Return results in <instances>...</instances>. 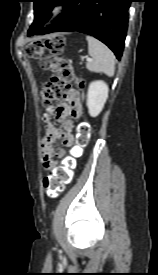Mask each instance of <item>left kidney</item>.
I'll use <instances>...</instances> for the list:
<instances>
[{
  "label": "left kidney",
  "mask_w": 158,
  "mask_h": 275,
  "mask_svg": "<svg viewBox=\"0 0 158 275\" xmlns=\"http://www.w3.org/2000/svg\"><path fill=\"white\" fill-rule=\"evenodd\" d=\"M108 92V85L104 81L99 80L90 83L86 105L91 117H96L101 113L108 98Z\"/></svg>",
  "instance_id": "5707ae66"
}]
</instances>
